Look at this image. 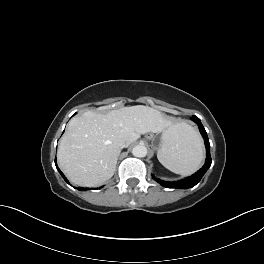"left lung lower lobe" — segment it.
I'll list each match as a JSON object with an SVG mask.
<instances>
[{
  "instance_id": "left-lung-lower-lobe-1",
  "label": "left lung lower lobe",
  "mask_w": 264,
  "mask_h": 264,
  "mask_svg": "<svg viewBox=\"0 0 264 264\" xmlns=\"http://www.w3.org/2000/svg\"><path fill=\"white\" fill-rule=\"evenodd\" d=\"M191 119L195 123L198 124L201 135L204 138V142H205V146H206V153H207L206 162H205L204 166L199 171H197L195 174H193L192 176H190L186 179H182V180L175 181V182H169V181H163V180L154 178L155 181L160 183L161 186H163V187L176 188V189L191 188V187H193L199 183V181L201 180V178L203 177V175L205 174V172L208 170V168L211 165L212 160H211V156H210V143H209V139H208L207 133L205 131V128L203 127L202 123L200 122V119L197 116H194Z\"/></svg>"
}]
</instances>
